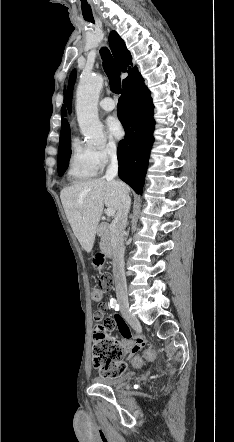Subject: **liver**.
I'll use <instances>...</instances> for the list:
<instances>
[{"label": "liver", "mask_w": 234, "mask_h": 442, "mask_svg": "<svg viewBox=\"0 0 234 442\" xmlns=\"http://www.w3.org/2000/svg\"><path fill=\"white\" fill-rule=\"evenodd\" d=\"M128 192L123 182L105 178L76 182L61 191L66 217L85 251L93 248L104 205L118 210L123 193Z\"/></svg>", "instance_id": "liver-1"}]
</instances>
